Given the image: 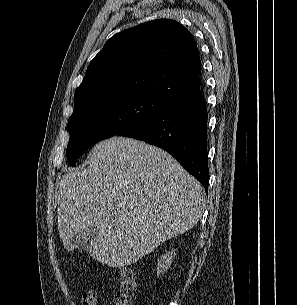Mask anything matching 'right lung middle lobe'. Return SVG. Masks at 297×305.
<instances>
[{
  "label": "right lung middle lobe",
  "instance_id": "obj_1",
  "mask_svg": "<svg viewBox=\"0 0 297 305\" xmlns=\"http://www.w3.org/2000/svg\"><path fill=\"white\" fill-rule=\"evenodd\" d=\"M170 100L144 93L106 97L75 109L68 121L66 157L71 166L96 142L118 135L159 111Z\"/></svg>",
  "mask_w": 297,
  "mask_h": 305
}]
</instances>
